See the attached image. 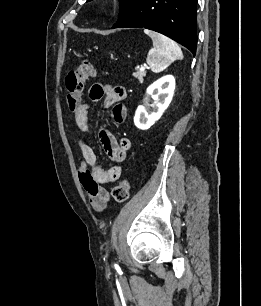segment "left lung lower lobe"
Segmentation results:
<instances>
[{
  "label": "left lung lower lobe",
  "instance_id": "obj_1",
  "mask_svg": "<svg viewBox=\"0 0 261 306\" xmlns=\"http://www.w3.org/2000/svg\"><path fill=\"white\" fill-rule=\"evenodd\" d=\"M197 0H136L112 28H147L164 34L196 53Z\"/></svg>",
  "mask_w": 261,
  "mask_h": 306
}]
</instances>
